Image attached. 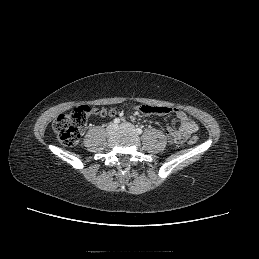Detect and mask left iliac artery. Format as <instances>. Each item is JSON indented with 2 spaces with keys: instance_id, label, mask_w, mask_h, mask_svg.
Instances as JSON below:
<instances>
[{
  "instance_id": "obj_1",
  "label": "left iliac artery",
  "mask_w": 259,
  "mask_h": 259,
  "mask_svg": "<svg viewBox=\"0 0 259 259\" xmlns=\"http://www.w3.org/2000/svg\"><path fill=\"white\" fill-rule=\"evenodd\" d=\"M136 132H137L138 134H141V133L143 132V130H142L141 128H137V129H136Z\"/></svg>"
}]
</instances>
